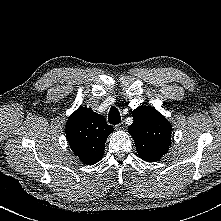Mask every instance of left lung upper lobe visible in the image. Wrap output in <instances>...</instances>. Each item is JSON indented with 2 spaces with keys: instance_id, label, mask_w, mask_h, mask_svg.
Wrapping results in <instances>:
<instances>
[{
  "instance_id": "5c2ea615",
  "label": "left lung upper lobe",
  "mask_w": 221,
  "mask_h": 221,
  "mask_svg": "<svg viewBox=\"0 0 221 221\" xmlns=\"http://www.w3.org/2000/svg\"><path fill=\"white\" fill-rule=\"evenodd\" d=\"M128 132L134 139L139 157L147 162L158 161L169 149L172 126L155 108L139 106L133 112Z\"/></svg>"
}]
</instances>
